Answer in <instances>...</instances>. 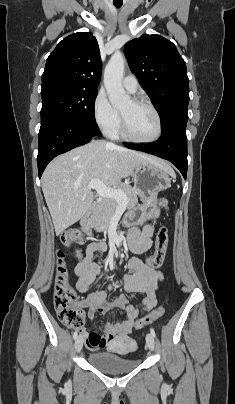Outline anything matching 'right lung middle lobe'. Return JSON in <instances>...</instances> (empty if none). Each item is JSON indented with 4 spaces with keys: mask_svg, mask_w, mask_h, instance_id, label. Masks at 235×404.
<instances>
[{
    "mask_svg": "<svg viewBox=\"0 0 235 404\" xmlns=\"http://www.w3.org/2000/svg\"><path fill=\"white\" fill-rule=\"evenodd\" d=\"M41 123L63 119L96 126L94 102L97 91L53 83L42 85Z\"/></svg>",
    "mask_w": 235,
    "mask_h": 404,
    "instance_id": "dd1d6c3e",
    "label": "right lung middle lobe"
}]
</instances>
